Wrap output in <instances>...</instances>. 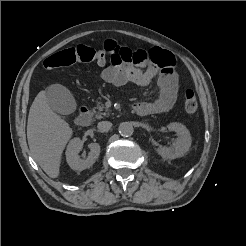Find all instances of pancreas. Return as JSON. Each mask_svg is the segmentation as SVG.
<instances>
[{
	"label": "pancreas",
	"instance_id": "1",
	"mask_svg": "<svg viewBox=\"0 0 246 246\" xmlns=\"http://www.w3.org/2000/svg\"><path fill=\"white\" fill-rule=\"evenodd\" d=\"M95 118L101 119L110 115V110L107 109L103 104L97 106V111H94Z\"/></svg>",
	"mask_w": 246,
	"mask_h": 246
}]
</instances>
